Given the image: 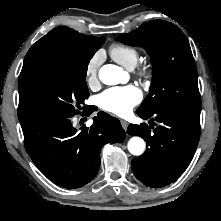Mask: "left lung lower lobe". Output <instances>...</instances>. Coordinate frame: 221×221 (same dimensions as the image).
<instances>
[{
  "label": "left lung lower lobe",
  "mask_w": 221,
  "mask_h": 221,
  "mask_svg": "<svg viewBox=\"0 0 221 221\" xmlns=\"http://www.w3.org/2000/svg\"><path fill=\"white\" fill-rule=\"evenodd\" d=\"M136 113L160 124L155 128V123L129 125L128 134L147 142L146 151L132 160L133 173L149 187L166 186L182 175L194 156L200 137V111L155 105Z\"/></svg>",
  "instance_id": "0a47b994"
}]
</instances>
